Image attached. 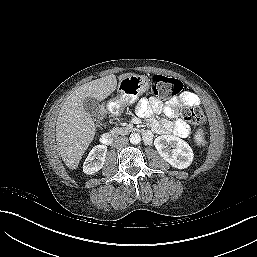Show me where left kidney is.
<instances>
[{
    "label": "left kidney",
    "mask_w": 257,
    "mask_h": 257,
    "mask_svg": "<svg viewBox=\"0 0 257 257\" xmlns=\"http://www.w3.org/2000/svg\"><path fill=\"white\" fill-rule=\"evenodd\" d=\"M154 145L160 156L174 168L185 169L193 161L194 154L189 144L176 136H158Z\"/></svg>",
    "instance_id": "left-kidney-1"
}]
</instances>
